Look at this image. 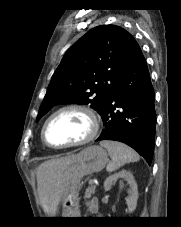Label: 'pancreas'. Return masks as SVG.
I'll use <instances>...</instances> for the list:
<instances>
[{"instance_id": "obj_1", "label": "pancreas", "mask_w": 181, "mask_h": 227, "mask_svg": "<svg viewBox=\"0 0 181 227\" xmlns=\"http://www.w3.org/2000/svg\"><path fill=\"white\" fill-rule=\"evenodd\" d=\"M95 189H96V186L94 185H91L86 189L85 195H84L85 200L91 198V196L95 194Z\"/></svg>"}]
</instances>
